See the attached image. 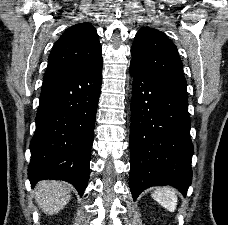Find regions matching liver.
Wrapping results in <instances>:
<instances>
[{
	"mask_svg": "<svg viewBox=\"0 0 228 225\" xmlns=\"http://www.w3.org/2000/svg\"><path fill=\"white\" fill-rule=\"evenodd\" d=\"M71 191L64 181H40L35 187V201L45 215H55L71 201Z\"/></svg>",
	"mask_w": 228,
	"mask_h": 225,
	"instance_id": "6515ba94",
	"label": "liver"
}]
</instances>
